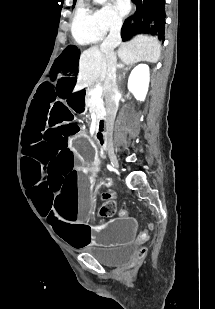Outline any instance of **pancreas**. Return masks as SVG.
Listing matches in <instances>:
<instances>
[{
  "label": "pancreas",
  "mask_w": 215,
  "mask_h": 309,
  "mask_svg": "<svg viewBox=\"0 0 215 309\" xmlns=\"http://www.w3.org/2000/svg\"><path fill=\"white\" fill-rule=\"evenodd\" d=\"M94 88L95 84H92V86H89V88H87L85 102L90 112H94V114H96L98 122L99 118H103L104 116V106L102 100H99V98H93V100H91Z\"/></svg>",
  "instance_id": "pancreas-1"
}]
</instances>
